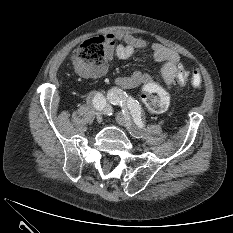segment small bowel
<instances>
[{"label": "small bowel", "instance_id": "small-bowel-1", "mask_svg": "<svg viewBox=\"0 0 233 233\" xmlns=\"http://www.w3.org/2000/svg\"><path fill=\"white\" fill-rule=\"evenodd\" d=\"M146 42L130 34H112L107 36L106 58L112 60L114 56L120 59H128L137 51H145ZM153 60L161 64V74L166 85L171 88L177 76L180 66V57L174 50L160 44L151 46ZM105 72V67L99 74ZM149 81V76L141 71L134 72L131 76L119 77L116 83L124 88H134Z\"/></svg>", "mask_w": 233, "mask_h": 233}]
</instances>
